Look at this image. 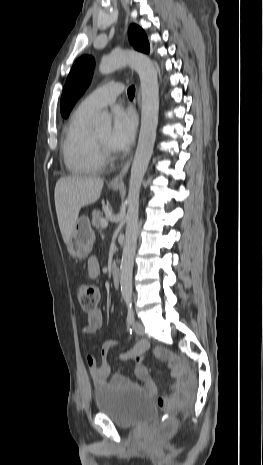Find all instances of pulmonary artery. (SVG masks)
I'll list each match as a JSON object with an SVG mask.
<instances>
[{
	"instance_id": "obj_1",
	"label": "pulmonary artery",
	"mask_w": 263,
	"mask_h": 465,
	"mask_svg": "<svg viewBox=\"0 0 263 465\" xmlns=\"http://www.w3.org/2000/svg\"><path fill=\"white\" fill-rule=\"evenodd\" d=\"M122 91V83H107L88 94L81 101L78 109L87 114H94L99 109L112 104Z\"/></svg>"
}]
</instances>
